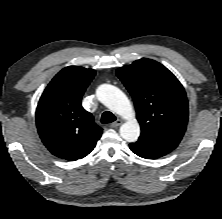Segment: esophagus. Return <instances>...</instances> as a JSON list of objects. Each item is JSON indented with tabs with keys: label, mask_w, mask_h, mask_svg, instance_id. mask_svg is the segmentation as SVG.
<instances>
[{
	"label": "esophagus",
	"mask_w": 222,
	"mask_h": 219,
	"mask_svg": "<svg viewBox=\"0 0 222 219\" xmlns=\"http://www.w3.org/2000/svg\"><path fill=\"white\" fill-rule=\"evenodd\" d=\"M122 124V120L117 119L115 122L111 123L110 127L111 128H116Z\"/></svg>",
	"instance_id": "1"
}]
</instances>
